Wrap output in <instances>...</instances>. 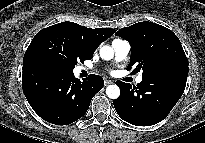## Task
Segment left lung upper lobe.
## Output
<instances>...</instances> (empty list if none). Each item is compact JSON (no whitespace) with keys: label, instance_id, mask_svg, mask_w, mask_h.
<instances>
[{"label":"left lung upper lobe","instance_id":"obj_1","mask_svg":"<svg viewBox=\"0 0 205 143\" xmlns=\"http://www.w3.org/2000/svg\"><path fill=\"white\" fill-rule=\"evenodd\" d=\"M131 45V60L127 69L142 70V77L159 70L182 67L188 60L178 37L169 29L153 22H138L116 33Z\"/></svg>","mask_w":205,"mask_h":143}]
</instances>
